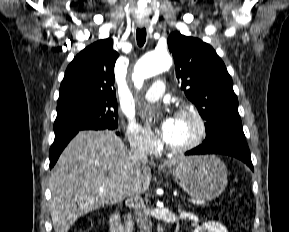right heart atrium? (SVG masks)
Wrapping results in <instances>:
<instances>
[{
  "mask_svg": "<svg viewBox=\"0 0 289 232\" xmlns=\"http://www.w3.org/2000/svg\"><path fill=\"white\" fill-rule=\"evenodd\" d=\"M126 135L130 146L136 151L151 154L158 148V143L133 121L128 122Z\"/></svg>",
  "mask_w": 289,
  "mask_h": 232,
  "instance_id": "right-heart-atrium-1",
  "label": "right heart atrium"
}]
</instances>
